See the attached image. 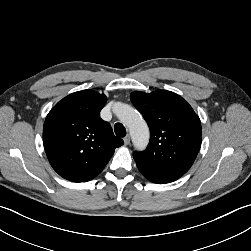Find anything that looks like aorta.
Listing matches in <instances>:
<instances>
[{
	"mask_svg": "<svg viewBox=\"0 0 251 251\" xmlns=\"http://www.w3.org/2000/svg\"><path fill=\"white\" fill-rule=\"evenodd\" d=\"M113 112L130 131L136 147L143 149L149 140V128L142 116L130 105L116 103Z\"/></svg>",
	"mask_w": 251,
	"mask_h": 251,
	"instance_id": "aorta-1",
	"label": "aorta"
}]
</instances>
